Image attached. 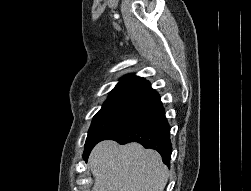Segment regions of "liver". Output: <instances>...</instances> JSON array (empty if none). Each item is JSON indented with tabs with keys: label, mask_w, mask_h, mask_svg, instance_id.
Instances as JSON below:
<instances>
[{
	"label": "liver",
	"mask_w": 251,
	"mask_h": 191,
	"mask_svg": "<svg viewBox=\"0 0 251 191\" xmlns=\"http://www.w3.org/2000/svg\"><path fill=\"white\" fill-rule=\"evenodd\" d=\"M89 165L95 175L92 191H164L169 177L158 151L136 141H100L89 155Z\"/></svg>",
	"instance_id": "liver-1"
}]
</instances>
